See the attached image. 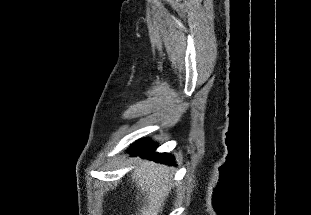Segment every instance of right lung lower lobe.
I'll return each mask as SVG.
<instances>
[{"mask_svg": "<svg viewBox=\"0 0 311 215\" xmlns=\"http://www.w3.org/2000/svg\"><path fill=\"white\" fill-rule=\"evenodd\" d=\"M157 144L149 142L147 139H142L133 144L130 148V153L133 155H141L151 157L155 162L164 163L167 165H173L174 158L170 154L166 153H155L154 149Z\"/></svg>", "mask_w": 311, "mask_h": 215, "instance_id": "1", "label": "right lung lower lobe"}]
</instances>
